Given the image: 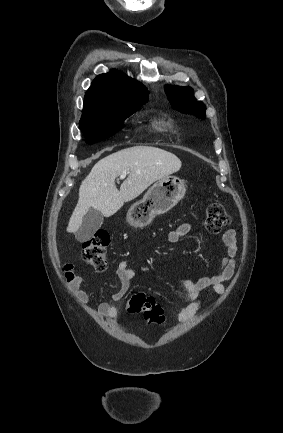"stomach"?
I'll use <instances>...</instances> for the list:
<instances>
[{
	"label": "stomach",
	"instance_id": "0dacf381",
	"mask_svg": "<svg viewBox=\"0 0 283 433\" xmlns=\"http://www.w3.org/2000/svg\"><path fill=\"white\" fill-rule=\"evenodd\" d=\"M186 192L185 184L178 176H164L154 182L151 188L145 192L142 200L134 202L130 206L127 217L130 223H147L152 221L155 214H163L175 206Z\"/></svg>",
	"mask_w": 283,
	"mask_h": 433
}]
</instances>
